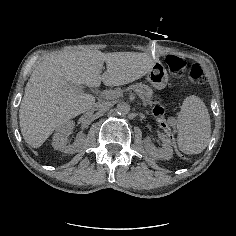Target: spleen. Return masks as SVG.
Wrapping results in <instances>:
<instances>
[{"instance_id": "spleen-1", "label": "spleen", "mask_w": 236, "mask_h": 236, "mask_svg": "<svg viewBox=\"0 0 236 236\" xmlns=\"http://www.w3.org/2000/svg\"><path fill=\"white\" fill-rule=\"evenodd\" d=\"M178 147L185 154H199L208 145L211 121L205 103L197 96L187 97L178 115Z\"/></svg>"}]
</instances>
